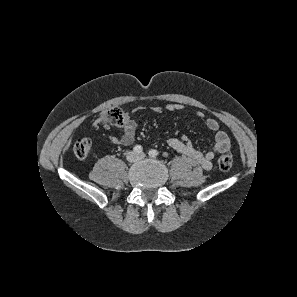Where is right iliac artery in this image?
I'll return each instance as SVG.
<instances>
[{"label":"right iliac artery","mask_w":297,"mask_h":297,"mask_svg":"<svg viewBox=\"0 0 297 297\" xmlns=\"http://www.w3.org/2000/svg\"><path fill=\"white\" fill-rule=\"evenodd\" d=\"M133 149L135 153H141L143 151V148L140 145H135Z\"/></svg>","instance_id":"82829eb1"}]
</instances>
